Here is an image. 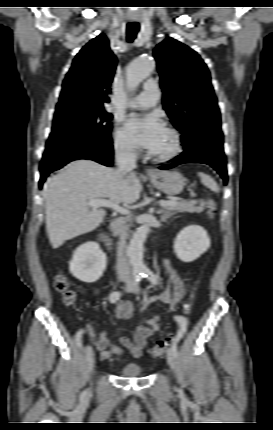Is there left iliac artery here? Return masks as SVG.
I'll use <instances>...</instances> for the list:
<instances>
[{"label": "left iliac artery", "mask_w": 273, "mask_h": 430, "mask_svg": "<svg viewBox=\"0 0 273 430\" xmlns=\"http://www.w3.org/2000/svg\"><path fill=\"white\" fill-rule=\"evenodd\" d=\"M143 277H146L152 284H158L159 280L157 278V276L149 269H144L143 271H141ZM185 320V317L182 314H179L177 316V321L179 322V333L177 335V337L174 339L173 344L171 346V349L173 351V353L175 354V356H177V343L180 340V338L186 334L188 327H187V323Z\"/></svg>", "instance_id": "obj_1"}]
</instances>
